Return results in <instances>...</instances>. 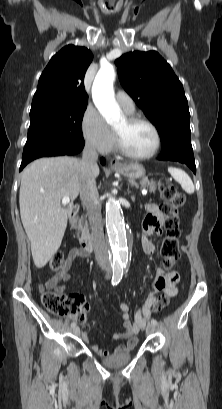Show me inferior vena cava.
I'll return each mask as SVG.
<instances>
[{
	"instance_id": "602c4592",
	"label": "inferior vena cava",
	"mask_w": 222,
	"mask_h": 409,
	"mask_svg": "<svg viewBox=\"0 0 222 409\" xmlns=\"http://www.w3.org/2000/svg\"><path fill=\"white\" fill-rule=\"evenodd\" d=\"M97 160L96 148L91 143H86L82 159L79 162L81 174L80 199L89 219L96 261L102 269L108 270L111 267V261L109 259L108 244L104 237L101 207L98 204V191L94 176Z\"/></svg>"
}]
</instances>
